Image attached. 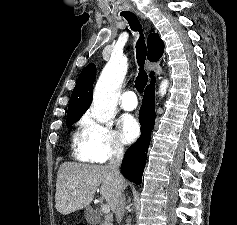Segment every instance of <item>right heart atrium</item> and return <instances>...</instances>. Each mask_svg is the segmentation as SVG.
<instances>
[{
	"label": "right heart atrium",
	"mask_w": 237,
	"mask_h": 225,
	"mask_svg": "<svg viewBox=\"0 0 237 225\" xmlns=\"http://www.w3.org/2000/svg\"><path fill=\"white\" fill-rule=\"evenodd\" d=\"M75 151L82 160L105 163L122 157L124 146L110 124L102 123L88 113L80 122Z\"/></svg>",
	"instance_id": "d8ad5b80"
}]
</instances>
